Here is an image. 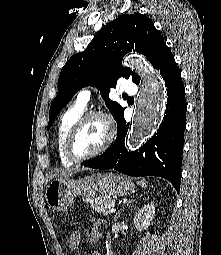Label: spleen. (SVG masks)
I'll return each instance as SVG.
<instances>
[{
	"instance_id": "obj_1",
	"label": "spleen",
	"mask_w": 221,
	"mask_h": 255,
	"mask_svg": "<svg viewBox=\"0 0 221 255\" xmlns=\"http://www.w3.org/2000/svg\"><path fill=\"white\" fill-rule=\"evenodd\" d=\"M141 187L143 188H146L147 187V184H146V181L143 179V180H140L137 182Z\"/></svg>"
}]
</instances>
